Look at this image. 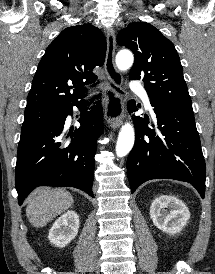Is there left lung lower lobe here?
Returning a JSON list of instances; mask_svg holds the SVG:
<instances>
[{
  "label": "left lung lower lobe",
  "instance_id": "left-lung-lower-lobe-1",
  "mask_svg": "<svg viewBox=\"0 0 215 274\" xmlns=\"http://www.w3.org/2000/svg\"><path fill=\"white\" fill-rule=\"evenodd\" d=\"M156 119L134 118L135 145L127 160L133 193L151 179H175L191 183L205 195V161L193 110L179 108L150 98ZM135 112V102L128 103Z\"/></svg>",
  "mask_w": 215,
  "mask_h": 274
}]
</instances>
